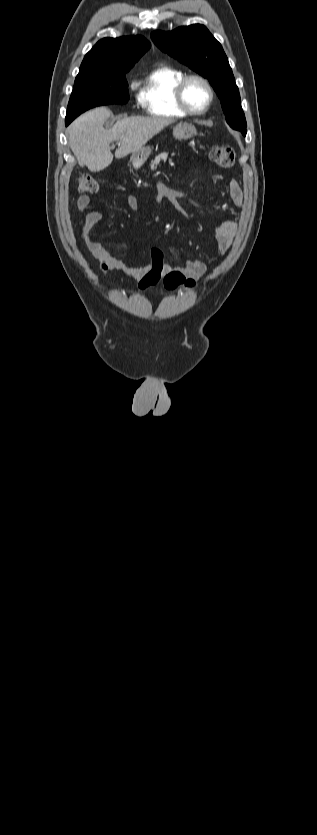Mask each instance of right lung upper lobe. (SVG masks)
<instances>
[{
	"label": "right lung upper lobe",
	"instance_id": "1",
	"mask_svg": "<svg viewBox=\"0 0 317 835\" xmlns=\"http://www.w3.org/2000/svg\"><path fill=\"white\" fill-rule=\"evenodd\" d=\"M149 47L142 36L104 38L85 55L79 72L131 69Z\"/></svg>",
	"mask_w": 317,
	"mask_h": 835
}]
</instances>
